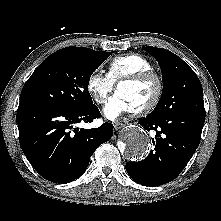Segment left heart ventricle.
Returning a JSON list of instances; mask_svg holds the SVG:
<instances>
[{"mask_svg": "<svg viewBox=\"0 0 221 221\" xmlns=\"http://www.w3.org/2000/svg\"><path fill=\"white\" fill-rule=\"evenodd\" d=\"M156 85L153 81H147L137 84H122L117 89L131 105L133 110L139 109L149 103L154 97Z\"/></svg>", "mask_w": 221, "mask_h": 221, "instance_id": "b2bd125f", "label": "left heart ventricle"}]
</instances>
